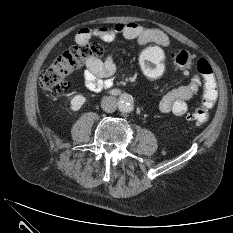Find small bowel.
I'll use <instances>...</instances> for the list:
<instances>
[{
	"instance_id": "obj_1",
	"label": "small bowel",
	"mask_w": 233,
	"mask_h": 233,
	"mask_svg": "<svg viewBox=\"0 0 233 233\" xmlns=\"http://www.w3.org/2000/svg\"><path fill=\"white\" fill-rule=\"evenodd\" d=\"M121 35L128 40H136L140 45L154 43L159 47H168V36L159 29H146L136 22L116 23L113 26H92L81 29L76 35L78 44H87L92 38L110 43ZM84 82L92 92L107 91L113 87V75L116 72V61L112 54L104 60L90 56L85 61ZM202 86V78L195 74L190 81L162 95L158 101L159 110L182 116L187 112V101L193 98Z\"/></svg>"
}]
</instances>
